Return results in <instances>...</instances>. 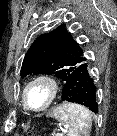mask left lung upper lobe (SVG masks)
Listing matches in <instances>:
<instances>
[{
	"instance_id": "left-lung-upper-lobe-1",
	"label": "left lung upper lobe",
	"mask_w": 117,
	"mask_h": 136,
	"mask_svg": "<svg viewBox=\"0 0 117 136\" xmlns=\"http://www.w3.org/2000/svg\"><path fill=\"white\" fill-rule=\"evenodd\" d=\"M81 46L62 24L33 42L25 55L21 76L54 74L65 83L72 71L86 60Z\"/></svg>"
}]
</instances>
